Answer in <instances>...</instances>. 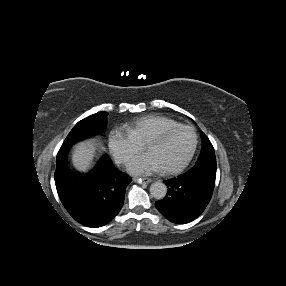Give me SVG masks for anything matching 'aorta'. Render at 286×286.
<instances>
[{"instance_id":"obj_1","label":"aorta","mask_w":286,"mask_h":286,"mask_svg":"<svg viewBox=\"0 0 286 286\" xmlns=\"http://www.w3.org/2000/svg\"><path fill=\"white\" fill-rule=\"evenodd\" d=\"M150 194L153 198L161 200L167 194V187L162 182H155L150 186Z\"/></svg>"}]
</instances>
